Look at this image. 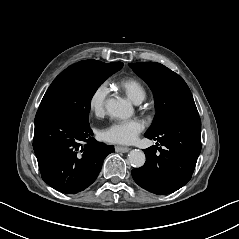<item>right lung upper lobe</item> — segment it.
I'll list each match as a JSON object with an SVG mask.
<instances>
[{"instance_id": "cb5924a9", "label": "right lung upper lobe", "mask_w": 239, "mask_h": 239, "mask_svg": "<svg viewBox=\"0 0 239 239\" xmlns=\"http://www.w3.org/2000/svg\"><path fill=\"white\" fill-rule=\"evenodd\" d=\"M108 64H110V65H112V66H114V67H117V68H122V66H123V63L122 62H113V63H108Z\"/></svg>"}]
</instances>
